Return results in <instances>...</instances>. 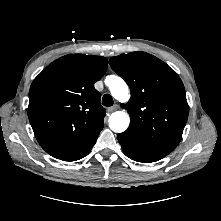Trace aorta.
Segmentation results:
<instances>
[{
  "instance_id": "obj_1",
  "label": "aorta",
  "mask_w": 221,
  "mask_h": 221,
  "mask_svg": "<svg viewBox=\"0 0 221 221\" xmlns=\"http://www.w3.org/2000/svg\"><path fill=\"white\" fill-rule=\"evenodd\" d=\"M106 84L109 86L112 96L119 102H127L130 98L129 88L126 82L118 76H108ZM130 123L129 115L124 111H116L109 117V127L113 132H124Z\"/></svg>"
}]
</instances>
